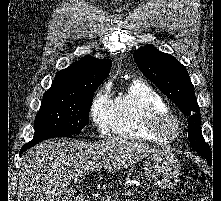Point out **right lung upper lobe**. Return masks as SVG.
<instances>
[{
  "mask_svg": "<svg viewBox=\"0 0 221 201\" xmlns=\"http://www.w3.org/2000/svg\"><path fill=\"white\" fill-rule=\"evenodd\" d=\"M110 69L111 60L85 56L59 71L48 91L75 95L95 92L108 76Z\"/></svg>",
  "mask_w": 221,
  "mask_h": 201,
  "instance_id": "cb5924a9",
  "label": "right lung upper lobe"
}]
</instances>
